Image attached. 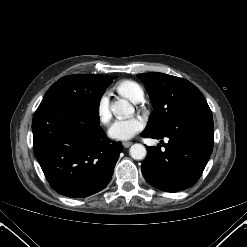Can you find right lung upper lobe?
<instances>
[{
  "label": "right lung upper lobe",
  "instance_id": "right-lung-upper-lobe-1",
  "mask_svg": "<svg viewBox=\"0 0 247 247\" xmlns=\"http://www.w3.org/2000/svg\"><path fill=\"white\" fill-rule=\"evenodd\" d=\"M98 77H100V78H108V77H111V76H107V75H97Z\"/></svg>",
  "mask_w": 247,
  "mask_h": 247
}]
</instances>
